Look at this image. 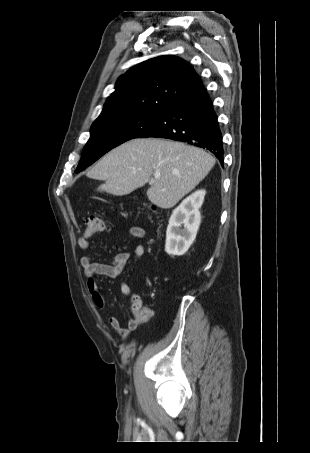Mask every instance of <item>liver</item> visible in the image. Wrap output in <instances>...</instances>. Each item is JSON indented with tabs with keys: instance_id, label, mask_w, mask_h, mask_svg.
Here are the masks:
<instances>
[{
	"instance_id": "6515ba94",
	"label": "liver",
	"mask_w": 310,
	"mask_h": 453,
	"mask_svg": "<svg viewBox=\"0 0 310 453\" xmlns=\"http://www.w3.org/2000/svg\"><path fill=\"white\" fill-rule=\"evenodd\" d=\"M215 158L203 149L159 138H136L108 152L87 176L105 181L98 191L128 195L147 182L148 199L168 209L207 176ZM160 174V178L152 176Z\"/></svg>"
}]
</instances>
